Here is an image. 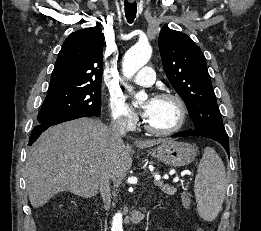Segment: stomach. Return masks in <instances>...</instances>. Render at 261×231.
<instances>
[{"instance_id": "obj_1", "label": "stomach", "mask_w": 261, "mask_h": 231, "mask_svg": "<svg viewBox=\"0 0 261 231\" xmlns=\"http://www.w3.org/2000/svg\"><path fill=\"white\" fill-rule=\"evenodd\" d=\"M148 154L166 165L181 167L193 162L197 151L187 142L168 140L149 150Z\"/></svg>"}]
</instances>
